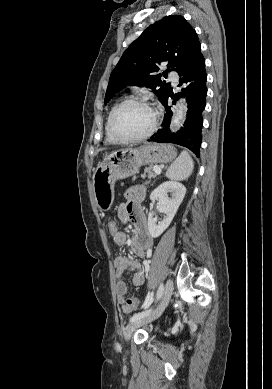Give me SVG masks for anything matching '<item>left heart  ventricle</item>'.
<instances>
[{
  "label": "left heart ventricle",
  "mask_w": 272,
  "mask_h": 389,
  "mask_svg": "<svg viewBox=\"0 0 272 389\" xmlns=\"http://www.w3.org/2000/svg\"><path fill=\"white\" fill-rule=\"evenodd\" d=\"M152 121L153 114L149 108L139 104H130L117 114L114 126L119 135L134 137L145 133Z\"/></svg>",
  "instance_id": "1"
}]
</instances>
